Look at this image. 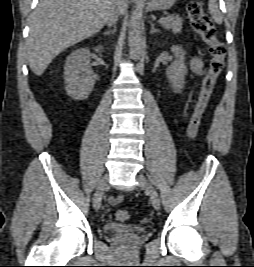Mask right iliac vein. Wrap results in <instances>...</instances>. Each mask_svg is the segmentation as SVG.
Returning a JSON list of instances; mask_svg holds the SVG:
<instances>
[{
  "label": "right iliac vein",
  "mask_w": 254,
  "mask_h": 267,
  "mask_svg": "<svg viewBox=\"0 0 254 267\" xmlns=\"http://www.w3.org/2000/svg\"><path fill=\"white\" fill-rule=\"evenodd\" d=\"M107 187H108V177L104 176L99 181V184L97 186L96 192L93 197V206L96 210H98L101 207L102 196Z\"/></svg>",
  "instance_id": "63e3f726"
}]
</instances>
